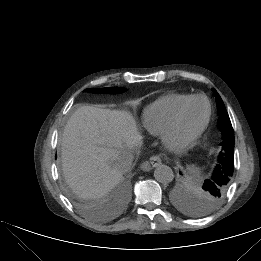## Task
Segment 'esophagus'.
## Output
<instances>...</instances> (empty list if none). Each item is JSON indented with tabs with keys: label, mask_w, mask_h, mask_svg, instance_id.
Wrapping results in <instances>:
<instances>
[{
	"label": "esophagus",
	"mask_w": 261,
	"mask_h": 261,
	"mask_svg": "<svg viewBox=\"0 0 261 261\" xmlns=\"http://www.w3.org/2000/svg\"><path fill=\"white\" fill-rule=\"evenodd\" d=\"M148 164H149V166L150 167H157V166H159L160 164H162V159H161V157L160 156H152L150 159H149V162H148ZM142 167L144 168V169H147V164H143L142 165Z\"/></svg>",
	"instance_id": "1"
}]
</instances>
